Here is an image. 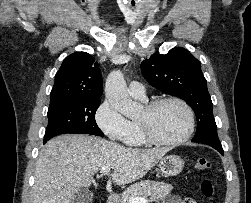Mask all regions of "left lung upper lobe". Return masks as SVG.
I'll use <instances>...</instances> for the list:
<instances>
[{"mask_svg":"<svg viewBox=\"0 0 251 203\" xmlns=\"http://www.w3.org/2000/svg\"><path fill=\"white\" fill-rule=\"evenodd\" d=\"M144 78L153 87L183 99L195 112L197 131L192 141L221 144L212 112V101L200 62L186 49L175 47L141 63Z\"/></svg>","mask_w":251,"mask_h":203,"instance_id":"obj_1","label":"left lung upper lobe"}]
</instances>
